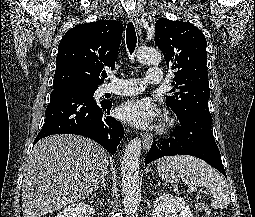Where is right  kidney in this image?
<instances>
[{"mask_svg": "<svg viewBox=\"0 0 255 217\" xmlns=\"http://www.w3.org/2000/svg\"><path fill=\"white\" fill-rule=\"evenodd\" d=\"M94 212L95 210L92 206L85 203H73L58 212L55 217H90Z\"/></svg>", "mask_w": 255, "mask_h": 217, "instance_id": "1", "label": "right kidney"}]
</instances>
